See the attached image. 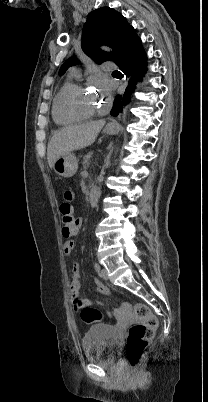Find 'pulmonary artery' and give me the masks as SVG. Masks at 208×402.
<instances>
[{
	"instance_id": "e3ab8cb5",
	"label": "pulmonary artery",
	"mask_w": 208,
	"mask_h": 402,
	"mask_svg": "<svg viewBox=\"0 0 208 402\" xmlns=\"http://www.w3.org/2000/svg\"><path fill=\"white\" fill-rule=\"evenodd\" d=\"M103 64H104V65L102 66V69L105 70V71H112V70L115 69V66L112 65V61H111V60H108V59H107V60L104 61ZM69 76H70V77H76L77 75H76V72H75L74 70H71L70 73H69Z\"/></svg>"
}]
</instances>
